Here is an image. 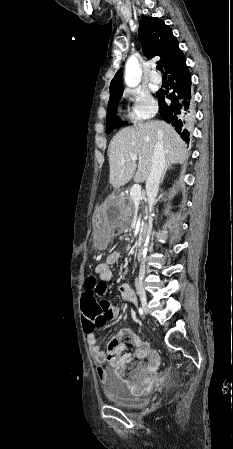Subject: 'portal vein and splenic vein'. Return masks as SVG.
<instances>
[{"label": "portal vein and splenic vein", "instance_id": "18ae733b", "mask_svg": "<svg viewBox=\"0 0 233 449\" xmlns=\"http://www.w3.org/2000/svg\"><path fill=\"white\" fill-rule=\"evenodd\" d=\"M130 159L133 161L138 160V156L135 154H132L130 156ZM126 162L125 159L121 160V163L124 164ZM130 197L133 200L135 204H138L141 200V186L139 184H134L130 189Z\"/></svg>", "mask_w": 233, "mask_h": 449}]
</instances>
